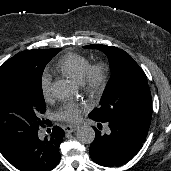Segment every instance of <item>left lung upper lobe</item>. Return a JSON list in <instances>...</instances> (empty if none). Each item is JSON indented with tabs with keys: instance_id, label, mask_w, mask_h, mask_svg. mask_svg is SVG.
Wrapping results in <instances>:
<instances>
[{
	"instance_id": "1",
	"label": "left lung upper lobe",
	"mask_w": 171,
	"mask_h": 171,
	"mask_svg": "<svg viewBox=\"0 0 171 171\" xmlns=\"http://www.w3.org/2000/svg\"><path fill=\"white\" fill-rule=\"evenodd\" d=\"M84 48L104 52L110 63L112 75L100 100V107L89 117L108 121L125 119L150 125L152 99L147 77L134 59L122 49L107 45H88Z\"/></svg>"
}]
</instances>
